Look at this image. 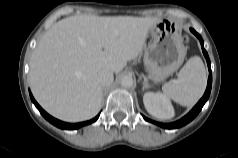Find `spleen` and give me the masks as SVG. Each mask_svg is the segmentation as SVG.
<instances>
[{
    "label": "spleen",
    "instance_id": "spleen-1",
    "mask_svg": "<svg viewBox=\"0 0 238 158\" xmlns=\"http://www.w3.org/2000/svg\"><path fill=\"white\" fill-rule=\"evenodd\" d=\"M207 75L202 59L191 57L179 71L177 79L165 83V96L182 106H193L202 97L206 88Z\"/></svg>",
    "mask_w": 238,
    "mask_h": 158
}]
</instances>
